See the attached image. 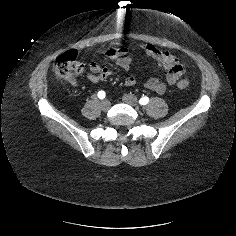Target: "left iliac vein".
I'll use <instances>...</instances> for the list:
<instances>
[{
    "label": "left iliac vein",
    "mask_w": 236,
    "mask_h": 236,
    "mask_svg": "<svg viewBox=\"0 0 236 236\" xmlns=\"http://www.w3.org/2000/svg\"><path fill=\"white\" fill-rule=\"evenodd\" d=\"M123 101L131 106L136 107L138 105L137 98L132 94H124L122 97Z\"/></svg>",
    "instance_id": "obj_1"
}]
</instances>
